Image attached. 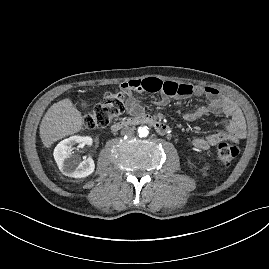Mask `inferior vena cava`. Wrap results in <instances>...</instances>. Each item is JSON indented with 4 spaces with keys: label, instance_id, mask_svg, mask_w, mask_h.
<instances>
[{
    "label": "inferior vena cava",
    "instance_id": "inferior-vena-cava-1",
    "mask_svg": "<svg viewBox=\"0 0 269 269\" xmlns=\"http://www.w3.org/2000/svg\"><path fill=\"white\" fill-rule=\"evenodd\" d=\"M121 134L122 135H133L134 134V129L132 127H124L122 130H121Z\"/></svg>",
    "mask_w": 269,
    "mask_h": 269
}]
</instances>
